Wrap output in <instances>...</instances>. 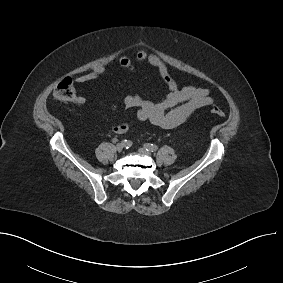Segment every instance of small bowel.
Instances as JSON below:
<instances>
[{
  "label": "small bowel",
  "instance_id": "small-bowel-1",
  "mask_svg": "<svg viewBox=\"0 0 283 283\" xmlns=\"http://www.w3.org/2000/svg\"><path fill=\"white\" fill-rule=\"evenodd\" d=\"M134 60L150 67L168 88L167 95L159 102L149 101L137 94L124 96L125 107L136 109L135 116L138 120L149 121L160 128L170 129L186 122L198 109L213 103L209 90L205 88L178 87L166 64L156 54L140 49L135 53ZM118 62L123 69L135 72L134 61L129 56L122 55ZM106 72L104 66H97L91 72L77 76L75 81L81 84L95 82ZM85 102L83 96L74 99L76 105H83ZM129 127V123L125 121L114 126L112 130L115 134L121 135L126 133Z\"/></svg>",
  "mask_w": 283,
  "mask_h": 283
}]
</instances>
